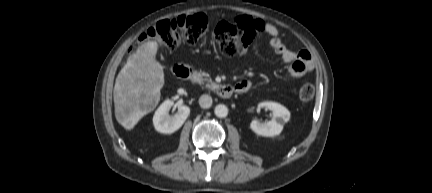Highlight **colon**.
Segmentation results:
<instances>
[{"label":"colon","mask_w":432,"mask_h":193,"mask_svg":"<svg viewBox=\"0 0 432 193\" xmlns=\"http://www.w3.org/2000/svg\"><path fill=\"white\" fill-rule=\"evenodd\" d=\"M208 26L204 14L183 15L175 19L159 21L149 27L139 38L153 40L161 47L175 49L185 43L196 44L206 33ZM253 32L244 23L220 22L213 30V38L222 54L234 56L244 50L253 39ZM315 87L306 83L299 90V97L307 102L313 99Z\"/></svg>","instance_id":"obj_1"}]
</instances>
